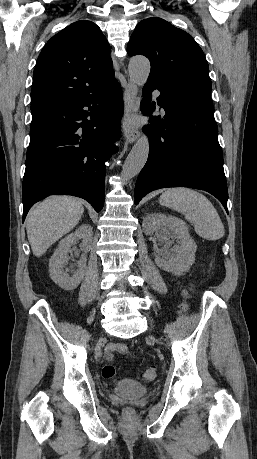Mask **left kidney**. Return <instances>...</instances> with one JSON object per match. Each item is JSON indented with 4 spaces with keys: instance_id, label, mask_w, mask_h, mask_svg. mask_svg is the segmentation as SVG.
<instances>
[{
    "instance_id": "1",
    "label": "left kidney",
    "mask_w": 257,
    "mask_h": 459,
    "mask_svg": "<svg viewBox=\"0 0 257 459\" xmlns=\"http://www.w3.org/2000/svg\"><path fill=\"white\" fill-rule=\"evenodd\" d=\"M143 231L146 235L157 236L159 242H167L170 237L177 238L179 245L169 248H155L156 264L167 272L182 275L195 262L197 245L191 238L186 223L174 216L162 213H153L143 220Z\"/></svg>"
}]
</instances>
